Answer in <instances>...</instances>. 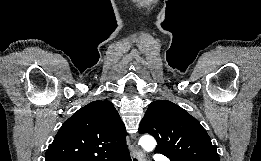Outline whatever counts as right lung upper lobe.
I'll return each mask as SVG.
<instances>
[{"label":"right lung upper lobe","instance_id":"right-lung-upper-lobe-1","mask_svg":"<svg viewBox=\"0 0 261 161\" xmlns=\"http://www.w3.org/2000/svg\"><path fill=\"white\" fill-rule=\"evenodd\" d=\"M126 130L113 104L93 101L61 126L45 161H103L128 151Z\"/></svg>","mask_w":261,"mask_h":161}]
</instances>
